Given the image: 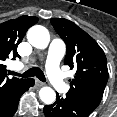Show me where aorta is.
<instances>
[{"label":"aorta","mask_w":117,"mask_h":117,"mask_svg":"<svg viewBox=\"0 0 117 117\" xmlns=\"http://www.w3.org/2000/svg\"><path fill=\"white\" fill-rule=\"evenodd\" d=\"M27 39L35 48L45 49L50 42V35L44 26L35 25L28 30ZM39 97L45 104H52L56 100V93L50 87H42Z\"/></svg>","instance_id":"1"}]
</instances>
